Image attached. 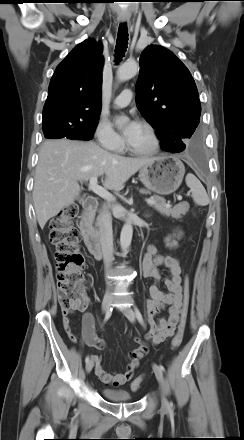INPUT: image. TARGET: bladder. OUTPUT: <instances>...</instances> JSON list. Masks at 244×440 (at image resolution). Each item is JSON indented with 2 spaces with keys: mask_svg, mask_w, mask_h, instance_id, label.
Instances as JSON below:
<instances>
[{
  "mask_svg": "<svg viewBox=\"0 0 244 440\" xmlns=\"http://www.w3.org/2000/svg\"><path fill=\"white\" fill-rule=\"evenodd\" d=\"M101 394L105 399L113 403H126L132 401L133 399L132 394L125 390L103 388Z\"/></svg>",
  "mask_w": 244,
  "mask_h": 440,
  "instance_id": "obj_1",
  "label": "bladder"
}]
</instances>
